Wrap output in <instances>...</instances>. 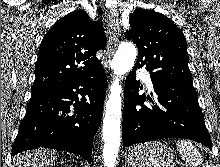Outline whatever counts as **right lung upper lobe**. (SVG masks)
Here are the masks:
<instances>
[{
    "label": "right lung upper lobe",
    "mask_w": 220,
    "mask_h": 167,
    "mask_svg": "<svg viewBox=\"0 0 220 167\" xmlns=\"http://www.w3.org/2000/svg\"><path fill=\"white\" fill-rule=\"evenodd\" d=\"M106 41L102 22L92 21L86 11L75 10L60 18L42 40L32 92L94 73L102 67L96 52L105 47Z\"/></svg>",
    "instance_id": "cb5924a9"
}]
</instances>
